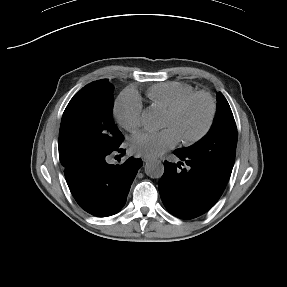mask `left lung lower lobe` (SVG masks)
I'll list each match as a JSON object with an SVG mask.
<instances>
[{"mask_svg": "<svg viewBox=\"0 0 287 287\" xmlns=\"http://www.w3.org/2000/svg\"><path fill=\"white\" fill-rule=\"evenodd\" d=\"M174 154L185 161L164 162V174L159 180V192L166 209L182 219H193L207 212L222 195L226 183L219 172L197 155L181 149ZM180 168V169H178Z\"/></svg>", "mask_w": 287, "mask_h": 287, "instance_id": "1", "label": "left lung lower lobe"}]
</instances>
